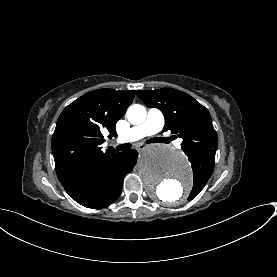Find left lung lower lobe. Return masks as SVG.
Returning a JSON list of instances; mask_svg holds the SVG:
<instances>
[{
    "mask_svg": "<svg viewBox=\"0 0 277 277\" xmlns=\"http://www.w3.org/2000/svg\"><path fill=\"white\" fill-rule=\"evenodd\" d=\"M205 151L209 152V153H210V156H213V155H215V153H216V150L211 149V148L205 149Z\"/></svg>",
    "mask_w": 277,
    "mask_h": 277,
    "instance_id": "0a47b994",
    "label": "left lung lower lobe"
}]
</instances>
